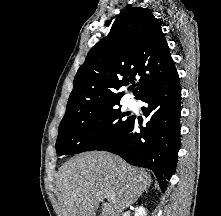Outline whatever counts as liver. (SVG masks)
I'll use <instances>...</instances> for the list:
<instances>
[{"label": "liver", "mask_w": 221, "mask_h": 216, "mask_svg": "<svg viewBox=\"0 0 221 216\" xmlns=\"http://www.w3.org/2000/svg\"><path fill=\"white\" fill-rule=\"evenodd\" d=\"M152 182L151 175L120 157L92 151L64 163L58 172V201L62 216H120ZM108 202H103L104 199Z\"/></svg>", "instance_id": "liver-1"}]
</instances>
